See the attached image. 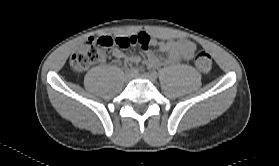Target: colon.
I'll return each mask as SVG.
<instances>
[{"instance_id":"1","label":"colon","mask_w":279,"mask_h":166,"mask_svg":"<svg viewBox=\"0 0 279 166\" xmlns=\"http://www.w3.org/2000/svg\"><path fill=\"white\" fill-rule=\"evenodd\" d=\"M147 38L140 36L138 38L130 37H99L91 38L71 56L70 66L73 71L82 73L91 65L101 62L106 58L109 49L112 46L126 48L134 44H146ZM193 61L198 70L207 73L212 68V57L204 50H194L192 53Z\"/></svg>"}]
</instances>
